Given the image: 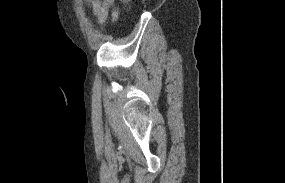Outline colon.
I'll return each instance as SVG.
<instances>
[{"label":"colon","mask_w":285,"mask_h":183,"mask_svg":"<svg viewBox=\"0 0 285 183\" xmlns=\"http://www.w3.org/2000/svg\"><path fill=\"white\" fill-rule=\"evenodd\" d=\"M124 4H128L131 0H121Z\"/></svg>","instance_id":"colon-1"}]
</instances>
